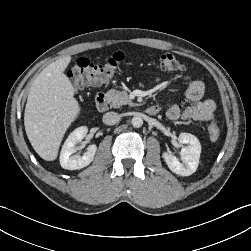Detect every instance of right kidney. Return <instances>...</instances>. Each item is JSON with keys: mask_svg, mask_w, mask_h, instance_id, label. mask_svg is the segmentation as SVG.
<instances>
[{"mask_svg": "<svg viewBox=\"0 0 251 251\" xmlns=\"http://www.w3.org/2000/svg\"><path fill=\"white\" fill-rule=\"evenodd\" d=\"M87 132L88 128L86 126H81L70 133L60 153V165L62 168L68 170L82 169L93 161L97 150L95 144H91L82 157L73 155L76 152L75 145L82 141Z\"/></svg>", "mask_w": 251, "mask_h": 251, "instance_id": "ca27d5eb", "label": "right kidney"}]
</instances>
